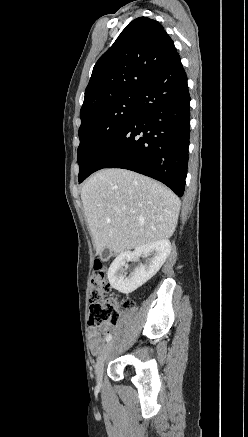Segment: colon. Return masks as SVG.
Instances as JSON below:
<instances>
[{
    "label": "colon",
    "mask_w": 248,
    "mask_h": 437,
    "mask_svg": "<svg viewBox=\"0 0 248 437\" xmlns=\"http://www.w3.org/2000/svg\"><path fill=\"white\" fill-rule=\"evenodd\" d=\"M111 287L106 276V267L101 261L94 264L90 286L89 325L97 328L116 324L119 319L118 305L110 297Z\"/></svg>",
    "instance_id": "5ec220e1"
}]
</instances>
